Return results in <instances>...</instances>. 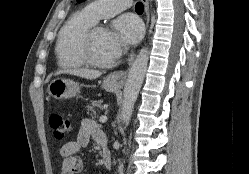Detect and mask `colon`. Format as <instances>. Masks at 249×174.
<instances>
[{"label": "colon", "instance_id": "colon-1", "mask_svg": "<svg viewBox=\"0 0 249 174\" xmlns=\"http://www.w3.org/2000/svg\"><path fill=\"white\" fill-rule=\"evenodd\" d=\"M49 124L55 137L59 140H63L72 131L71 122L58 113H53L49 117Z\"/></svg>", "mask_w": 249, "mask_h": 174}]
</instances>
